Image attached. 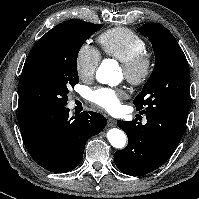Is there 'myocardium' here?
I'll list each match as a JSON object with an SVG mask.
<instances>
[{
    "label": "myocardium",
    "instance_id": "f54148a6",
    "mask_svg": "<svg viewBox=\"0 0 199 199\" xmlns=\"http://www.w3.org/2000/svg\"><path fill=\"white\" fill-rule=\"evenodd\" d=\"M127 81L134 86H143L150 79L153 72V59L150 54L141 52L122 62Z\"/></svg>",
    "mask_w": 199,
    "mask_h": 199
}]
</instances>
